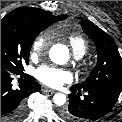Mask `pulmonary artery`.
<instances>
[{
  "label": "pulmonary artery",
  "instance_id": "1",
  "mask_svg": "<svg viewBox=\"0 0 122 122\" xmlns=\"http://www.w3.org/2000/svg\"><path fill=\"white\" fill-rule=\"evenodd\" d=\"M75 57L78 59V58H80V56H78V55H75Z\"/></svg>",
  "mask_w": 122,
  "mask_h": 122
}]
</instances>
